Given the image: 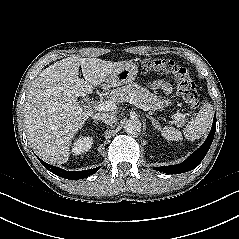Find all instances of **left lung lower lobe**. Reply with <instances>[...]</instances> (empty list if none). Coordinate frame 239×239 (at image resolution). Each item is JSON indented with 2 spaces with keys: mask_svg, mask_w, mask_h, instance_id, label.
Instances as JSON below:
<instances>
[{
  "mask_svg": "<svg viewBox=\"0 0 239 239\" xmlns=\"http://www.w3.org/2000/svg\"><path fill=\"white\" fill-rule=\"evenodd\" d=\"M215 131H216V117L214 118L211 131L206 141L203 143V145L199 149H197L194 153H192L188 159H186L184 162L177 165L155 167L154 169L159 172H163L167 174H179V173L191 171L192 169L196 168L206 156L212 144Z\"/></svg>",
  "mask_w": 239,
  "mask_h": 239,
  "instance_id": "0a47b994",
  "label": "left lung lower lobe"
}]
</instances>
